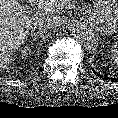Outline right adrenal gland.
Returning <instances> with one entry per match:
<instances>
[{"mask_svg": "<svg viewBox=\"0 0 118 118\" xmlns=\"http://www.w3.org/2000/svg\"><path fill=\"white\" fill-rule=\"evenodd\" d=\"M41 32H36V33H32V38H34V41H36V39L41 35Z\"/></svg>", "mask_w": 118, "mask_h": 118, "instance_id": "2a0ac1e0", "label": "right adrenal gland"}]
</instances>
